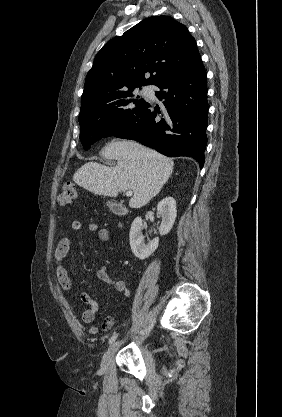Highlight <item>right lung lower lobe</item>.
I'll list each match as a JSON object with an SVG mask.
<instances>
[{
	"label": "right lung lower lobe",
	"instance_id": "1",
	"mask_svg": "<svg viewBox=\"0 0 282 417\" xmlns=\"http://www.w3.org/2000/svg\"><path fill=\"white\" fill-rule=\"evenodd\" d=\"M156 92L164 99L165 119L157 118L160 110L149 104L126 129L113 135L131 139L170 156L193 157L203 168L207 145L206 71L199 61L162 81Z\"/></svg>",
	"mask_w": 282,
	"mask_h": 417
}]
</instances>
